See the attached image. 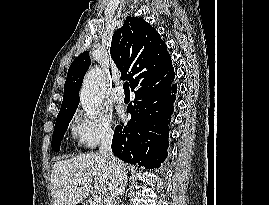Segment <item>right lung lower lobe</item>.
<instances>
[{
  "label": "right lung lower lobe",
  "instance_id": "right-lung-lower-lobe-1",
  "mask_svg": "<svg viewBox=\"0 0 269 205\" xmlns=\"http://www.w3.org/2000/svg\"><path fill=\"white\" fill-rule=\"evenodd\" d=\"M173 80L135 91L128 109L131 120L116 126L112 141L113 153L124 162L158 168L168 156V125L177 92Z\"/></svg>",
  "mask_w": 269,
  "mask_h": 205
}]
</instances>
